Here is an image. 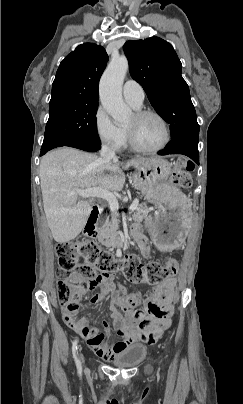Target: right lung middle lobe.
<instances>
[{"instance_id": "right-lung-middle-lobe-1", "label": "right lung middle lobe", "mask_w": 243, "mask_h": 404, "mask_svg": "<svg viewBox=\"0 0 243 404\" xmlns=\"http://www.w3.org/2000/svg\"><path fill=\"white\" fill-rule=\"evenodd\" d=\"M98 103L71 102L49 106L41 154L72 141L100 143L96 127Z\"/></svg>"}]
</instances>
